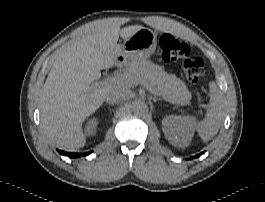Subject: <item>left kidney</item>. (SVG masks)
Returning a JSON list of instances; mask_svg holds the SVG:
<instances>
[{"label": "left kidney", "mask_w": 265, "mask_h": 202, "mask_svg": "<svg viewBox=\"0 0 265 202\" xmlns=\"http://www.w3.org/2000/svg\"><path fill=\"white\" fill-rule=\"evenodd\" d=\"M194 120L192 116L165 117L162 121V129L169 143L179 148L189 146L194 135Z\"/></svg>", "instance_id": "left-kidney-1"}]
</instances>
